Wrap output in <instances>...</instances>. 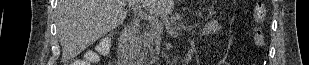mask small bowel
<instances>
[{
  "mask_svg": "<svg viewBox=\"0 0 309 65\" xmlns=\"http://www.w3.org/2000/svg\"><path fill=\"white\" fill-rule=\"evenodd\" d=\"M207 31L218 32L220 30L218 24L215 21H210L206 26ZM89 64L95 63L93 61H88Z\"/></svg>",
  "mask_w": 309,
  "mask_h": 65,
  "instance_id": "small-bowel-1",
  "label": "small bowel"
}]
</instances>
